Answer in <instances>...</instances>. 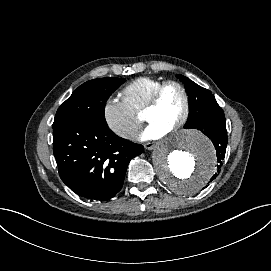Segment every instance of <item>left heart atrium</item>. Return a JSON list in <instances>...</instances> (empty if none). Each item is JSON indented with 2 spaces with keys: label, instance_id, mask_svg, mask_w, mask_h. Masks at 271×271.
Here are the masks:
<instances>
[{
  "label": "left heart atrium",
  "instance_id": "obj_1",
  "mask_svg": "<svg viewBox=\"0 0 271 271\" xmlns=\"http://www.w3.org/2000/svg\"><path fill=\"white\" fill-rule=\"evenodd\" d=\"M168 133L169 131L167 129L160 127L156 123H149L148 126L137 135V139L140 141L157 140Z\"/></svg>",
  "mask_w": 271,
  "mask_h": 271
}]
</instances>
